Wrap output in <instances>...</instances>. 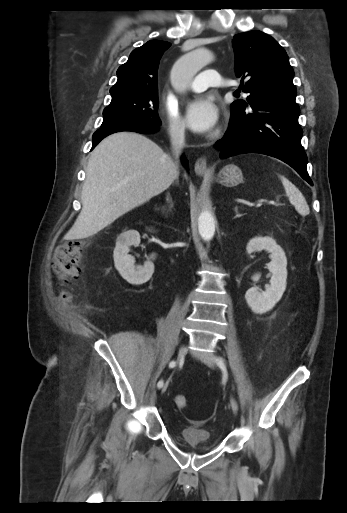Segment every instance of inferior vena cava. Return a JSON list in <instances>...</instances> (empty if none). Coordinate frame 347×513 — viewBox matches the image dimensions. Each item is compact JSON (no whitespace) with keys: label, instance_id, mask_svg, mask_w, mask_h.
Segmentation results:
<instances>
[{"label":"inferior vena cava","instance_id":"inferior-vena-cava-1","mask_svg":"<svg viewBox=\"0 0 347 513\" xmlns=\"http://www.w3.org/2000/svg\"><path fill=\"white\" fill-rule=\"evenodd\" d=\"M170 140L173 154L178 160L181 150L185 146V131L182 127L174 128L170 131ZM172 170L178 175V161H172Z\"/></svg>","mask_w":347,"mask_h":513}]
</instances>
